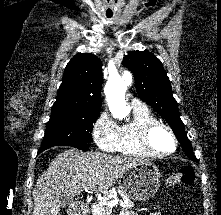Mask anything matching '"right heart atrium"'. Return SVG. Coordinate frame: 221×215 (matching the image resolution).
I'll return each mask as SVG.
<instances>
[{
  "label": "right heart atrium",
  "instance_id": "obj_1",
  "mask_svg": "<svg viewBox=\"0 0 221 215\" xmlns=\"http://www.w3.org/2000/svg\"><path fill=\"white\" fill-rule=\"evenodd\" d=\"M118 136L119 125L108 112H101L92 127V137L98 148L106 152L115 151Z\"/></svg>",
  "mask_w": 221,
  "mask_h": 215
}]
</instances>
